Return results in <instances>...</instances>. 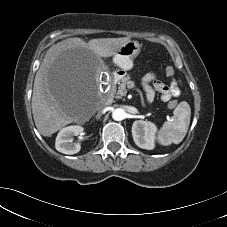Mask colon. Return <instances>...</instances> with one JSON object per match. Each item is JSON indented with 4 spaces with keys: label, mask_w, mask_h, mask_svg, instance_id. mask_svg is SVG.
<instances>
[{
    "label": "colon",
    "mask_w": 227,
    "mask_h": 227,
    "mask_svg": "<svg viewBox=\"0 0 227 227\" xmlns=\"http://www.w3.org/2000/svg\"><path fill=\"white\" fill-rule=\"evenodd\" d=\"M165 72L168 76H172L174 74V69L172 67H167L165 69ZM177 105V101L176 100H172L169 102V107L170 108H174Z\"/></svg>",
    "instance_id": "1"
}]
</instances>
